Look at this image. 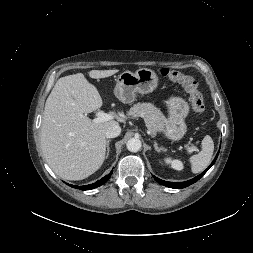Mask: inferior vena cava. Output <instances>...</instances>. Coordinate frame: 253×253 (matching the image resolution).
<instances>
[{
	"label": "inferior vena cava",
	"instance_id": "obj_1",
	"mask_svg": "<svg viewBox=\"0 0 253 253\" xmlns=\"http://www.w3.org/2000/svg\"><path fill=\"white\" fill-rule=\"evenodd\" d=\"M121 133V127L118 124H114L107 128L105 132V136L107 138H115L119 136Z\"/></svg>",
	"mask_w": 253,
	"mask_h": 253
}]
</instances>
